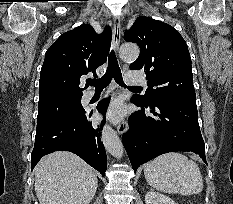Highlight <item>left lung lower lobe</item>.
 <instances>
[{
  "label": "left lung lower lobe",
  "instance_id": "left-lung-lower-lobe-1",
  "mask_svg": "<svg viewBox=\"0 0 233 204\" xmlns=\"http://www.w3.org/2000/svg\"><path fill=\"white\" fill-rule=\"evenodd\" d=\"M131 102L141 110L130 116L129 130L122 140L135 171L151 159L174 151L194 152L207 164L196 101L164 97L148 104L134 98Z\"/></svg>",
  "mask_w": 233,
  "mask_h": 204
}]
</instances>
